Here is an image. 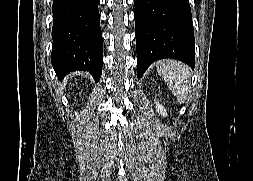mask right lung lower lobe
<instances>
[{"instance_id":"obj_1","label":"right lung lower lobe","mask_w":253,"mask_h":181,"mask_svg":"<svg viewBox=\"0 0 253 181\" xmlns=\"http://www.w3.org/2000/svg\"><path fill=\"white\" fill-rule=\"evenodd\" d=\"M98 1L54 0L52 65L59 79L87 70L99 81L103 47Z\"/></svg>"}]
</instances>
